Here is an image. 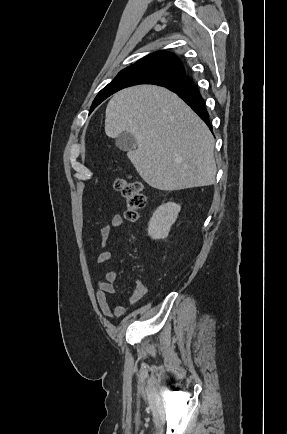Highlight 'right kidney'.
Instances as JSON below:
<instances>
[{"mask_svg": "<svg viewBox=\"0 0 287 434\" xmlns=\"http://www.w3.org/2000/svg\"><path fill=\"white\" fill-rule=\"evenodd\" d=\"M180 210L181 206L174 202H168L158 207L150 219L148 235L154 240L165 239Z\"/></svg>", "mask_w": 287, "mask_h": 434, "instance_id": "ca27d5eb", "label": "right kidney"}]
</instances>
